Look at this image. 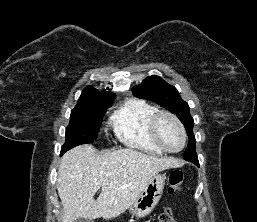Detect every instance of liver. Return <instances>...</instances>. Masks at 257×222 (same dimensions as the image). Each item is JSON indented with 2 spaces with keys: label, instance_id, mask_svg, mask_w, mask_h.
Returning <instances> with one entry per match:
<instances>
[{
  "label": "liver",
  "instance_id": "obj_1",
  "mask_svg": "<svg viewBox=\"0 0 257 222\" xmlns=\"http://www.w3.org/2000/svg\"><path fill=\"white\" fill-rule=\"evenodd\" d=\"M182 165L179 160L158 158L129 148L98 155L92 145L77 146L63 155L58 171L62 222L118 217L134 203L155 174ZM100 187L101 193L95 200Z\"/></svg>",
  "mask_w": 257,
  "mask_h": 222
}]
</instances>
